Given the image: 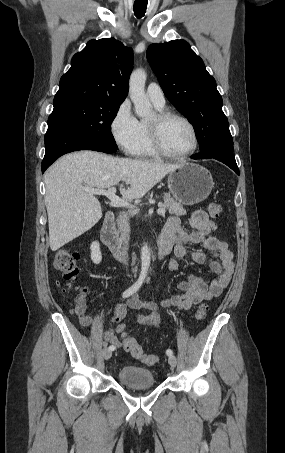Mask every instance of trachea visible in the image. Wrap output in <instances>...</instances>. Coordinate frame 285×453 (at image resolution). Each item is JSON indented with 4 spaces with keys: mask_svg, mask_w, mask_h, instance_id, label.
<instances>
[{
    "mask_svg": "<svg viewBox=\"0 0 285 453\" xmlns=\"http://www.w3.org/2000/svg\"><path fill=\"white\" fill-rule=\"evenodd\" d=\"M147 9V0H135L134 2V14L137 18H142Z\"/></svg>",
    "mask_w": 285,
    "mask_h": 453,
    "instance_id": "trachea-1",
    "label": "trachea"
}]
</instances>
